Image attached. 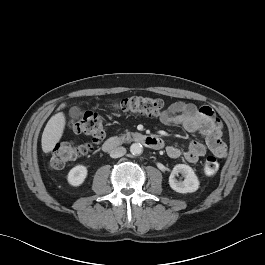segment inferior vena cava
Masks as SVG:
<instances>
[{
  "mask_svg": "<svg viewBox=\"0 0 265 265\" xmlns=\"http://www.w3.org/2000/svg\"><path fill=\"white\" fill-rule=\"evenodd\" d=\"M126 153V148L124 147H116L110 152V157L112 158H119L125 155Z\"/></svg>",
  "mask_w": 265,
  "mask_h": 265,
  "instance_id": "obj_1",
  "label": "inferior vena cava"
}]
</instances>
